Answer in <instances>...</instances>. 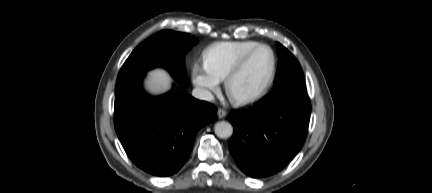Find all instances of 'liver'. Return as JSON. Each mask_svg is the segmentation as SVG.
Returning <instances> with one entry per match:
<instances>
[{"label":"liver","instance_id":"6515ba94","mask_svg":"<svg viewBox=\"0 0 432 193\" xmlns=\"http://www.w3.org/2000/svg\"><path fill=\"white\" fill-rule=\"evenodd\" d=\"M171 77L162 69H155L148 73L147 85L151 92L159 94L170 88Z\"/></svg>","mask_w":432,"mask_h":193}]
</instances>
